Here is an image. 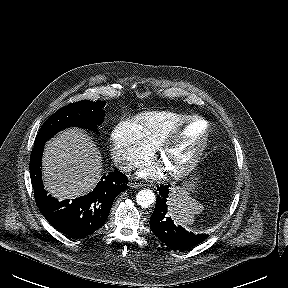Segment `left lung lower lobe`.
I'll use <instances>...</instances> for the list:
<instances>
[{
    "label": "left lung lower lobe",
    "instance_id": "left-lung-lower-lobe-1",
    "mask_svg": "<svg viewBox=\"0 0 288 288\" xmlns=\"http://www.w3.org/2000/svg\"><path fill=\"white\" fill-rule=\"evenodd\" d=\"M169 187L170 185L158 187L159 195L156 199L154 212L150 217V228L154 235L169 248L186 250L203 242L208 235L188 232L168 218L166 198L168 197Z\"/></svg>",
    "mask_w": 288,
    "mask_h": 288
}]
</instances>
